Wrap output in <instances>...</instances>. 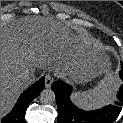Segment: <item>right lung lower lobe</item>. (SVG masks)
<instances>
[{"instance_id":"obj_1","label":"right lung lower lobe","mask_w":123,"mask_h":123,"mask_svg":"<svg viewBox=\"0 0 123 123\" xmlns=\"http://www.w3.org/2000/svg\"><path fill=\"white\" fill-rule=\"evenodd\" d=\"M44 77L25 90L19 97L12 111L1 120V123H25V111L28 105L44 89Z\"/></svg>"}]
</instances>
